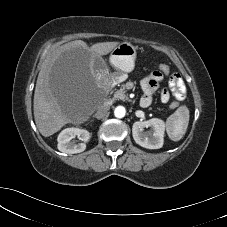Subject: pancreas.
I'll return each instance as SVG.
<instances>
[{"instance_id":"cf45deb5","label":"pancreas","mask_w":227,"mask_h":227,"mask_svg":"<svg viewBox=\"0 0 227 227\" xmlns=\"http://www.w3.org/2000/svg\"><path fill=\"white\" fill-rule=\"evenodd\" d=\"M126 86L125 84H122L120 89L117 90L113 96V100H117V99H120V100H127L128 97L126 95Z\"/></svg>"}]
</instances>
